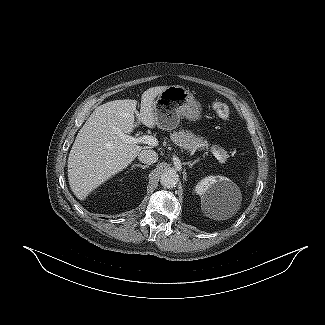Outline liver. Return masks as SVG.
I'll list each match as a JSON object with an SVG mask.
<instances>
[{
	"instance_id": "1",
	"label": "liver",
	"mask_w": 325,
	"mask_h": 325,
	"mask_svg": "<svg viewBox=\"0 0 325 325\" xmlns=\"http://www.w3.org/2000/svg\"><path fill=\"white\" fill-rule=\"evenodd\" d=\"M168 86L147 89L141 96L139 119L147 127L156 125L153 102ZM137 101L115 100L98 106L80 129L68 157V180L74 195L88 194L126 168L147 147L123 141L135 124Z\"/></svg>"
}]
</instances>
